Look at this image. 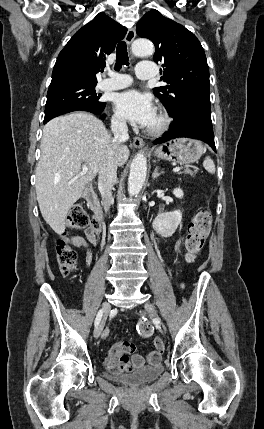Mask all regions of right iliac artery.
Here are the masks:
<instances>
[{"instance_id":"1","label":"right iliac artery","mask_w":264,"mask_h":429,"mask_svg":"<svg viewBox=\"0 0 264 429\" xmlns=\"http://www.w3.org/2000/svg\"><path fill=\"white\" fill-rule=\"evenodd\" d=\"M103 312H104V310L103 309H101V310H99V312L97 313V316H96V319H95V327H97L98 326V324L100 323V321H101V318H102V314H103Z\"/></svg>"}]
</instances>
